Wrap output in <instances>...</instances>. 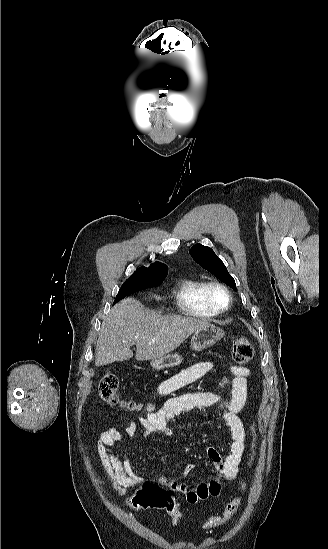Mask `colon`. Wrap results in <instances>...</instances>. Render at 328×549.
Returning <instances> with one entry per match:
<instances>
[{
	"instance_id": "obj_1",
	"label": "colon",
	"mask_w": 328,
	"mask_h": 549,
	"mask_svg": "<svg viewBox=\"0 0 328 549\" xmlns=\"http://www.w3.org/2000/svg\"><path fill=\"white\" fill-rule=\"evenodd\" d=\"M254 355V348L247 338H239L232 344L231 358L238 365H243L251 360ZM98 392L100 397L111 405L121 404L131 410L140 408L133 402H122L119 397V380L116 374L107 372L100 380ZM256 450L255 429L251 427V452L249 463H252ZM245 487V484L242 485ZM175 490L169 489L164 484H158L146 481L129 500L128 507L131 510L162 509L165 510L171 518L172 524L178 526L183 522V514L178 510L175 501ZM240 505V497L237 496L227 503L224 513L221 516L209 518L203 528L206 530L214 529L226 524L236 514Z\"/></svg>"
}]
</instances>
